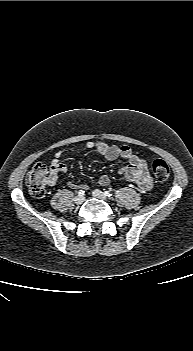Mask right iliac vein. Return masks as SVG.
<instances>
[{"label":"right iliac vein","mask_w":193,"mask_h":351,"mask_svg":"<svg viewBox=\"0 0 193 351\" xmlns=\"http://www.w3.org/2000/svg\"><path fill=\"white\" fill-rule=\"evenodd\" d=\"M84 200H85V197L84 196H76L75 198H74V201H75V203L76 204H82L83 202H84Z\"/></svg>","instance_id":"right-iliac-vein-1"}]
</instances>
